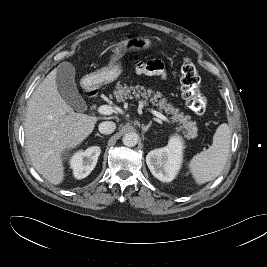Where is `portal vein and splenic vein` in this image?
<instances>
[{
  "label": "portal vein and splenic vein",
  "mask_w": 267,
  "mask_h": 267,
  "mask_svg": "<svg viewBox=\"0 0 267 267\" xmlns=\"http://www.w3.org/2000/svg\"><path fill=\"white\" fill-rule=\"evenodd\" d=\"M148 111L153 114L154 116H156L157 118H159L160 120L166 122V123H171V121L165 116L163 115L162 113L156 111V110H153V109H148ZM98 112L100 114H103V115H110L114 112V109L112 106L110 105H101L98 107Z\"/></svg>",
  "instance_id": "18ae733b"
}]
</instances>
